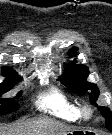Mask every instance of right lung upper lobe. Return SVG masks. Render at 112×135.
<instances>
[{"label":"right lung upper lobe","instance_id":"right-lung-upper-lobe-1","mask_svg":"<svg viewBox=\"0 0 112 135\" xmlns=\"http://www.w3.org/2000/svg\"><path fill=\"white\" fill-rule=\"evenodd\" d=\"M2 73L6 77L18 76L13 69L6 67V66L2 68Z\"/></svg>","mask_w":112,"mask_h":135}]
</instances>
